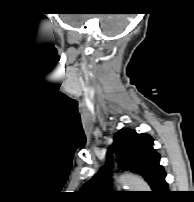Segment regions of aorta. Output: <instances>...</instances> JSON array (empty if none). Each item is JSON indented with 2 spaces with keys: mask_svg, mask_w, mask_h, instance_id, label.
<instances>
[{
  "mask_svg": "<svg viewBox=\"0 0 194 202\" xmlns=\"http://www.w3.org/2000/svg\"><path fill=\"white\" fill-rule=\"evenodd\" d=\"M119 183L134 191H149V186L141 179L131 176L123 175L118 179Z\"/></svg>",
  "mask_w": 194,
  "mask_h": 202,
  "instance_id": "1",
  "label": "aorta"
}]
</instances>
